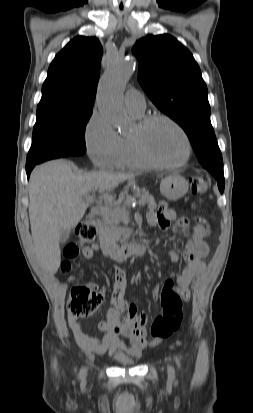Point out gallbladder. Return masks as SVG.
<instances>
[{"mask_svg":"<svg viewBox=\"0 0 253 413\" xmlns=\"http://www.w3.org/2000/svg\"><path fill=\"white\" fill-rule=\"evenodd\" d=\"M70 235V229H65L61 230L60 236H59V242L64 243L66 240L69 238Z\"/></svg>","mask_w":253,"mask_h":413,"instance_id":"bac80fb5","label":"gallbladder"}]
</instances>
